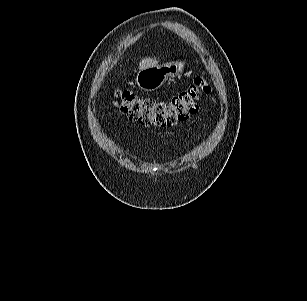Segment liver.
<instances>
[{"label":"liver","instance_id":"6515ba94","mask_svg":"<svg viewBox=\"0 0 307 301\" xmlns=\"http://www.w3.org/2000/svg\"><path fill=\"white\" fill-rule=\"evenodd\" d=\"M158 63V61L156 59H153V58H144L140 61V64H139V69H144L146 67H150V66H153V65H156Z\"/></svg>","mask_w":307,"mask_h":301}]
</instances>
